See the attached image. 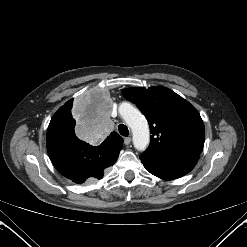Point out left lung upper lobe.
<instances>
[{"label":"left lung upper lobe","mask_w":247,"mask_h":247,"mask_svg":"<svg viewBox=\"0 0 247 247\" xmlns=\"http://www.w3.org/2000/svg\"><path fill=\"white\" fill-rule=\"evenodd\" d=\"M123 96L135 103L150 126L147 152L163 155L200 154L205 128L200 114L188 101L165 87L128 88Z\"/></svg>","instance_id":"obj_1"}]
</instances>
